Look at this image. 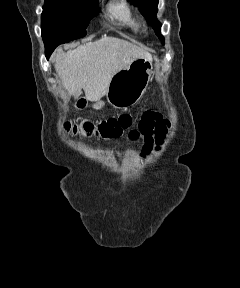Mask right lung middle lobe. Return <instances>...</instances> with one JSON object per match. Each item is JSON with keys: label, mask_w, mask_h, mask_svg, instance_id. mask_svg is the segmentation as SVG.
I'll return each instance as SVG.
<instances>
[{"label": "right lung middle lobe", "mask_w": 240, "mask_h": 288, "mask_svg": "<svg viewBox=\"0 0 240 288\" xmlns=\"http://www.w3.org/2000/svg\"><path fill=\"white\" fill-rule=\"evenodd\" d=\"M97 0H45L41 15L45 48L86 35L89 21L98 13Z\"/></svg>", "instance_id": "right-lung-middle-lobe-1"}]
</instances>
